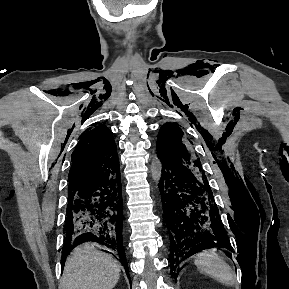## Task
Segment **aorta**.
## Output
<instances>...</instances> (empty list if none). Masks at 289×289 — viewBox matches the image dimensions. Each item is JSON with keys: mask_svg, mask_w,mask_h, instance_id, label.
I'll return each mask as SVG.
<instances>
[{"mask_svg": "<svg viewBox=\"0 0 289 289\" xmlns=\"http://www.w3.org/2000/svg\"><path fill=\"white\" fill-rule=\"evenodd\" d=\"M162 164L161 161L155 157L150 163V173L153 181L158 184L161 178Z\"/></svg>", "mask_w": 289, "mask_h": 289, "instance_id": "aorta-1", "label": "aorta"}]
</instances>
